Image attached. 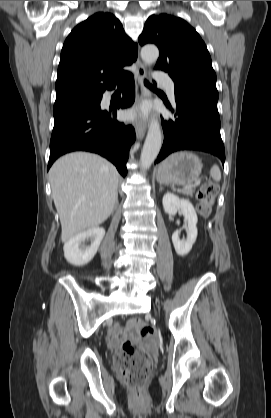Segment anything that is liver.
<instances>
[{"mask_svg": "<svg viewBox=\"0 0 271 418\" xmlns=\"http://www.w3.org/2000/svg\"><path fill=\"white\" fill-rule=\"evenodd\" d=\"M49 174L62 242L99 226L113 212L119 173L106 159L87 152L67 154Z\"/></svg>", "mask_w": 271, "mask_h": 418, "instance_id": "1", "label": "liver"}]
</instances>
